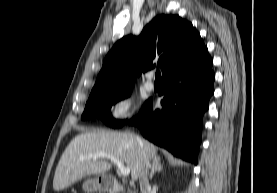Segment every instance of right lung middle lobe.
Here are the masks:
<instances>
[{
    "mask_svg": "<svg viewBox=\"0 0 277 193\" xmlns=\"http://www.w3.org/2000/svg\"><path fill=\"white\" fill-rule=\"evenodd\" d=\"M131 91L132 87L116 91H103L90 94L81 119L85 120L99 117L107 125L113 128L122 126L125 121L115 120L110 113V108L119 100L130 96Z\"/></svg>",
    "mask_w": 277,
    "mask_h": 193,
    "instance_id": "dd1d6c3e",
    "label": "right lung middle lobe"
}]
</instances>
